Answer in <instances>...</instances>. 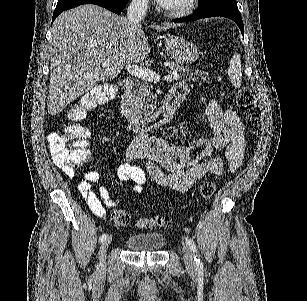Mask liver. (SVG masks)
<instances>
[{"label": "liver", "instance_id": "6515ba94", "mask_svg": "<svg viewBox=\"0 0 307 301\" xmlns=\"http://www.w3.org/2000/svg\"><path fill=\"white\" fill-rule=\"evenodd\" d=\"M174 26L178 24L165 22L151 28ZM143 28L147 26H130L126 16L97 4H81L61 12L51 26L49 40V114H58L101 80L115 78L127 64L146 60L151 48ZM104 60L110 64L102 66Z\"/></svg>", "mask_w": 307, "mask_h": 301}]
</instances>
